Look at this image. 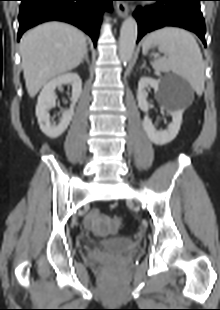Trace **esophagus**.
<instances>
[{
  "label": "esophagus",
  "instance_id": "obj_1",
  "mask_svg": "<svg viewBox=\"0 0 220 310\" xmlns=\"http://www.w3.org/2000/svg\"><path fill=\"white\" fill-rule=\"evenodd\" d=\"M115 8H116V12H117L118 16L121 18L126 17L128 12H129L128 5L125 3L118 2L116 4Z\"/></svg>",
  "mask_w": 220,
  "mask_h": 310
}]
</instances>
